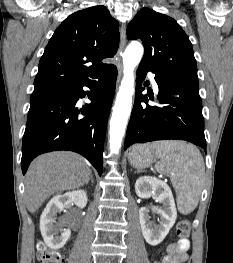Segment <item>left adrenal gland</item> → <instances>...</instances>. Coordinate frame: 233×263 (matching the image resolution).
Masks as SVG:
<instances>
[{
    "label": "left adrenal gland",
    "mask_w": 233,
    "mask_h": 263,
    "mask_svg": "<svg viewBox=\"0 0 233 263\" xmlns=\"http://www.w3.org/2000/svg\"><path fill=\"white\" fill-rule=\"evenodd\" d=\"M139 172H140L139 170L136 171V173H139Z\"/></svg>",
    "instance_id": "a2214340"
}]
</instances>
